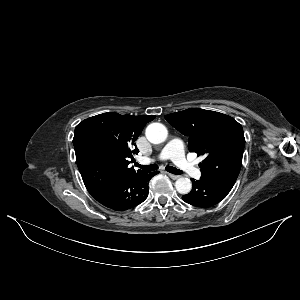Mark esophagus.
<instances>
[{"label": "esophagus", "mask_w": 300, "mask_h": 300, "mask_svg": "<svg viewBox=\"0 0 300 300\" xmlns=\"http://www.w3.org/2000/svg\"><path fill=\"white\" fill-rule=\"evenodd\" d=\"M169 177L172 178L173 180H176L178 178H180L179 175H175V174H172V173H168Z\"/></svg>", "instance_id": "obj_1"}]
</instances>
